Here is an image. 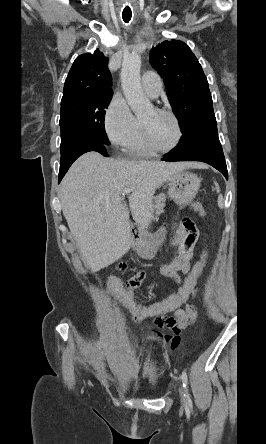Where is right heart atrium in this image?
<instances>
[{
    "label": "right heart atrium",
    "mask_w": 266,
    "mask_h": 444,
    "mask_svg": "<svg viewBox=\"0 0 266 444\" xmlns=\"http://www.w3.org/2000/svg\"><path fill=\"white\" fill-rule=\"evenodd\" d=\"M104 131L108 141L116 148H125L132 139L137 119L121 94H114L104 114Z\"/></svg>",
    "instance_id": "d8ad5b80"
}]
</instances>
